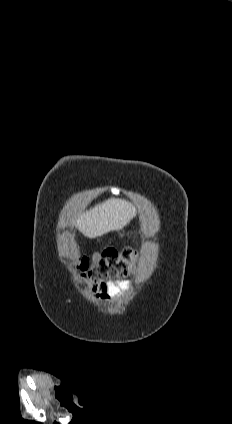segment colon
I'll return each instance as SVG.
<instances>
[{
	"label": "colon",
	"mask_w": 232,
	"mask_h": 424,
	"mask_svg": "<svg viewBox=\"0 0 232 424\" xmlns=\"http://www.w3.org/2000/svg\"><path fill=\"white\" fill-rule=\"evenodd\" d=\"M138 254L131 248L108 249L79 260L77 269L86 283H100L132 275Z\"/></svg>",
	"instance_id": "5ec220e1"
}]
</instances>
